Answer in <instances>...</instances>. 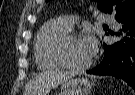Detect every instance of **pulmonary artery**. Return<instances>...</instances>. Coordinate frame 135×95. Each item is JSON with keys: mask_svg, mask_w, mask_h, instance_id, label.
Listing matches in <instances>:
<instances>
[{"mask_svg": "<svg viewBox=\"0 0 135 95\" xmlns=\"http://www.w3.org/2000/svg\"><path fill=\"white\" fill-rule=\"evenodd\" d=\"M100 17L106 23L115 24V22L111 19L110 16L102 14ZM61 19L64 21V23L69 28L73 27V25H74V17L73 16L67 15V16H63Z\"/></svg>", "mask_w": 135, "mask_h": 95, "instance_id": "1", "label": "pulmonary artery"}]
</instances>
